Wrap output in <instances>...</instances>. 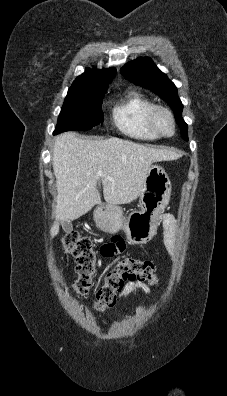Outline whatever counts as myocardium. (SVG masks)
Here are the masks:
<instances>
[{"label": "myocardium", "mask_w": 227, "mask_h": 396, "mask_svg": "<svg viewBox=\"0 0 227 396\" xmlns=\"http://www.w3.org/2000/svg\"><path fill=\"white\" fill-rule=\"evenodd\" d=\"M160 114H165L168 116V118L171 121V132L167 133L164 132L158 125V116ZM148 122L151 126V128L160 136V137H171L175 134L176 132V120L175 117L172 113V111L167 108L166 106L160 105V104H153L149 111L148 115Z\"/></svg>", "instance_id": "1"}]
</instances>
